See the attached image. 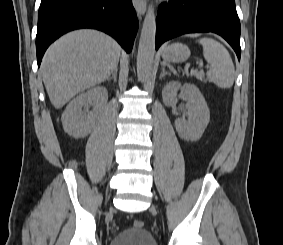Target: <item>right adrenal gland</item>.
<instances>
[{"instance_id":"2a0ac1e0","label":"right adrenal gland","mask_w":283,"mask_h":245,"mask_svg":"<svg viewBox=\"0 0 283 245\" xmlns=\"http://www.w3.org/2000/svg\"><path fill=\"white\" fill-rule=\"evenodd\" d=\"M117 73H118V69L116 68V69L113 71L112 76L109 77V78L107 79V81L109 82L111 79H113L114 82H116V81H117Z\"/></svg>"}]
</instances>
